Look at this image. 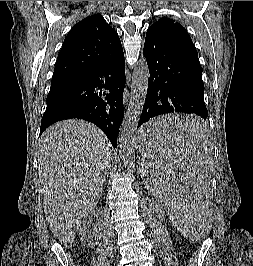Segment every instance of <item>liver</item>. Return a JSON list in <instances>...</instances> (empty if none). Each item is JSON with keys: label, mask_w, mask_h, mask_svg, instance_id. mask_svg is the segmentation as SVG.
<instances>
[{"label": "liver", "mask_w": 253, "mask_h": 266, "mask_svg": "<svg viewBox=\"0 0 253 266\" xmlns=\"http://www.w3.org/2000/svg\"><path fill=\"white\" fill-rule=\"evenodd\" d=\"M111 146L95 125L72 119L42 134L39 176L45 187L43 208L54 236L66 247L95 209L110 167Z\"/></svg>", "instance_id": "obj_1"}]
</instances>
